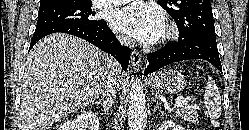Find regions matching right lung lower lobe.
I'll return each mask as SVG.
<instances>
[{
    "label": "right lung lower lobe",
    "mask_w": 249,
    "mask_h": 130,
    "mask_svg": "<svg viewBox=\"0 0 249 130\" xmlns=\"http://www.w3.org/2000/svg\"><path fill=\"white\" fill-rule=\"evenodd\" d=\"M58 32L71 34L91 42L104 52L114 56L118 62L121 63L122 69L127 70L130 49L120 44L104 20L97 25L65 24L35 30L29 49H31L41 38Z\"/></svg>",
    "instance_id": "1"
}]
</instances>
